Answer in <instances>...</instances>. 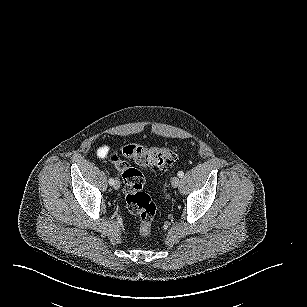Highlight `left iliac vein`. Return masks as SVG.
<instances>
[{"label":"left iliac vein","instance_id":"1","mask_svg":"<svg viewBox=\"0 0 307 307\" xmlns=\"http://www.w3.org/2000/svg\"><path fill=\"white\" fill-rule=\"evenodd\" d=\"M181 180L179 177L175 176L172 178L171 185L173 188H177L180 184Z\"/></svg>","mask_w":307,"mask_h":307}]
</instances>
